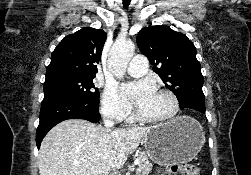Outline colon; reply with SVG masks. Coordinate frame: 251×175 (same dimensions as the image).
<instances>
[{
	"label": "colon",
	"instance_id": "5ec220e1",
	"mask_svg": "<svg viewBox=\"0 0 251 175\" xmlns=\"http://www.w3.org/2000/svg\"><path fill=\"white\" fill-rule=\"evenodd\" d=\"M163 175H200V169L193 163H174L164 167Z\"/></svg>",
	"mask_w": 251,
	"mask_h": 175
}]
</instances>
